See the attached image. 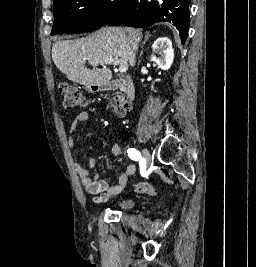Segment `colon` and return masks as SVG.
Instances as JSON below:
<instances>
[{"instance_id":"obj_1","label":"colon","mask_w":256,"mask_h":267,"mask_svg":"<svg viewBox=\"0 0 256 267\" xmlns=\"http://www.w3.org/2000/svg\"><path fill=\"white\" fill-rule=\"evenodd\" d=\"M59 90L65 108L77 109L86 105L87 101L83 93L76 86L70 84H61L59 86ZM114 107L118 113H124L128 109V104L123 99H118L115 101ZM135 191L148 193L149 195H156L153 186L145 182L136 184Z\"/></svg>"}]
</instances>
